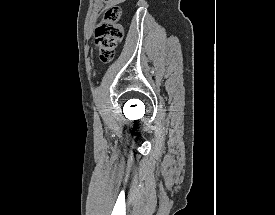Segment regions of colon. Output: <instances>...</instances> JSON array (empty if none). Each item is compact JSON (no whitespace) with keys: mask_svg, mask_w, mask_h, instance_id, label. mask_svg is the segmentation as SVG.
I'll list each match as a JSON object with an SVG mask.
<instances>
[{"mask_svg":"<svg viewBox=\"0 0 275 215\" xmlns=\"http://www.w3.org/2000/svg\"><path fill=\"white\" fill-rule=\"evenodd\" d=\"M95 37L100 61L103 63L111 61L123 38L122 11L118 5L112 4L105 10L95 30Z\"/></svg>","mask_w":275,"mask_h":215,"instance_id":"colon-1","label":"colon"}]
</instances>
